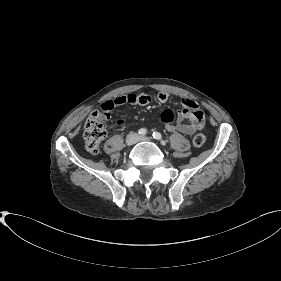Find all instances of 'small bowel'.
I'll list each match as a JSON object with an SVG mask.
<instances>
[{"instance_id":"obj_1","label":"small bowel","mask_w":281,"mask_h":281,"mask_svg":"<svg viewBox=\"0 0 281 281\" xmlns=\"http://www.w3.org/2000/svg\"><path fill=\"white\" fill-rule=\"evenodd\" d=\"M168 98L169 95L163 91L158 92L156 95V100L160 103L167 102ZM151 101L152 97L146 93L121 95L103 102L101 109L109 113L117 106L125 103L146 106ZM182 106L183 108L178 112L176 120H174V113L169 109H165L159 114L158 120L164 124L166 130L191 135L202 129L205 124V116L199 106L189 99H183ZM117 123L122 124L123 121L118 120Z\"/></svg>"}]
</instances>
